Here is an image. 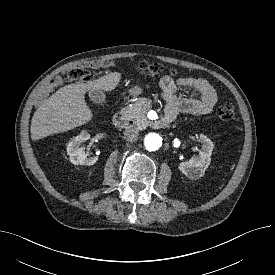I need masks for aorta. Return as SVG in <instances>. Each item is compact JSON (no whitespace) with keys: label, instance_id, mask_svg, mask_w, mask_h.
Returning <instances> with one entry per match:
<instances>
[{"label":"aorta","instance_id":"obj_1","mask_svg":"<svg viewBox=\"0 0 275 275\" xmlns=\"http://www.w3.org/2000/svg\"><path fill=\"white\" fill-rule=\"evenodd\" d=\"M144 145L148 151H156L162 146V137L157 133H149L144 138Z\"/></svg>","mask_w":275,"mask_h":275}]
</instances>
